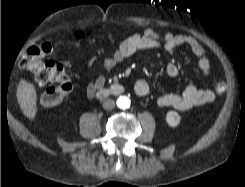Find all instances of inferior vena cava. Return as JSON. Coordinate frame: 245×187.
Returning a JSON list of instances; mask_svg holds the SVG:
<instances>
[{"instance_id": "obj_1", "label": "inferior vena cava", "mask_w": 245, "mask_h": 187, "mask_svg": "<svg viewBox=\"0 0 245 187\" xmlns=\"http://www.w3.org/2000/svg\"><path fill=\"white\" fill-rule=\"evenodd\" d=\"M102 107L105 110H112L115 108V102L112 99H107L103 102Z\"/></svg>"}]
</instances>
